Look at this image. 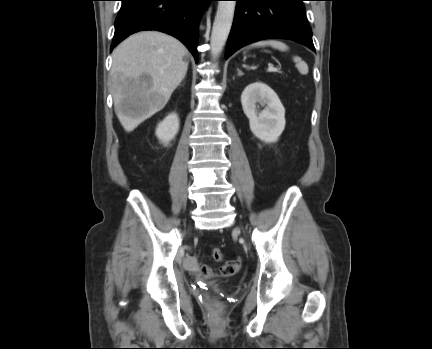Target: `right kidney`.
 Returning <instances> with one entry per match:
<instances>
[{"mask_svg":"<svg viewBox=\"0 0 432 349\" xmlns=\"http://www.w3.org/2000/svg\"><path fill=\"white\" fill-rule=\"evenodd\" d=\"M178 131V115L176 113H171L167 115L164 120L158 124L156 128V136L164 145H167L171 140L175 138Z\"/></svg>","mask_w":432,"mask_h":349,"instance_id":"ca27d5eb","label":"right kidney"}]
</instances>
